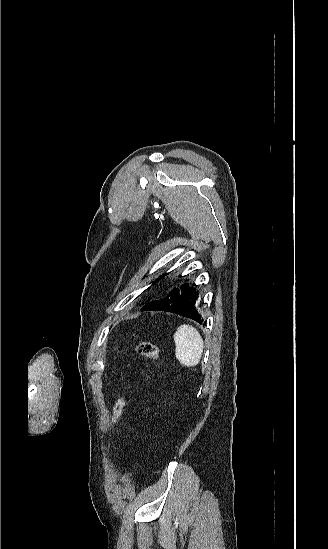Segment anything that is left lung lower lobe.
<instances>
[{
  "label": "left lung lower lobe",
  "mask_w": 328,
  "mask_h": 549,
  "mask_svg": "<svg viewBox=\"0 0 328 549\" xmlns=\"http://www.w3.org/2000/svg\"><path fill=\"white\" fill-rule=\"evenodd\" d=\"M179 294L174 300H159L146 304L142 310L165 311L191 318L202 323L201 316L196 310L198 292L189 288L187 284L181 286Z\"/></svg>",
  "instance_id": "0a47b994"
}]
</instances>
